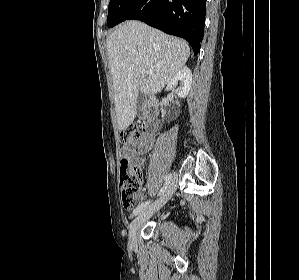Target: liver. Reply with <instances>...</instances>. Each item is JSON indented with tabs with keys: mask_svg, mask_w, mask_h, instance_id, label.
Returning a JSON list of instances; mask_svg holds the SVG:
<instances>
[{
	"mask_svg": "<svg viewBox=\"0 0 299 280\" xmlns=\"http://www.w3.org/2000/svg\"><path fill=\"white\" fill-rule=\"evenodd\" d=\"M106 46L118 128L124 130L136 117L139 91L145 96L160 92L185 66L190 49L185 41L136 20L117 27ZM141 69L152 74L141 75Z\"/></svg>",
	"mask_w": 299,
	"mask_h": 280,
	"instance_id": "liver-1",
	"label": "liver"
}]
</instances>
